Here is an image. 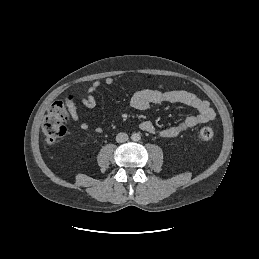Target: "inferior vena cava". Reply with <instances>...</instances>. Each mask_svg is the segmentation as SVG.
<instances>
[{"mask_svg":"<svg viewBox=\"0 0 259 259\" xmlns=\"http://www.w3.org/2000/svg\"><path fill=\"white\" fill-rule=\"evenodd\" d=\"M128 135L126 133H118L116 136V141L118 143H124L128 140Z\"/></svg>","mask_w":259,"mask_h":259,"instance_id":"obj_1","label":"inferior vena cava"}]
</instances>
